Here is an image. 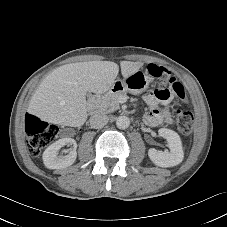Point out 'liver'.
Masks as SVG:
<instances>
[{"instance_id":"6515ba94","label":"liver","mask_w":227,"mask_h":227,"mask_svg":"<svg viewBox=\"0 0 227 227\" xmlns=\"http://www.w3.org/2000/svg\"><path fill=\"white\" fill-rule=\"evenodd\" d=\"M124 78L138 71L142 62L121 61ZM119 66L112 61L66 64L47 75L30 99L28 112L42 121L79 127L87 120L86 93L102 94L113 86Z\"/></svg>"}]
</instances>
